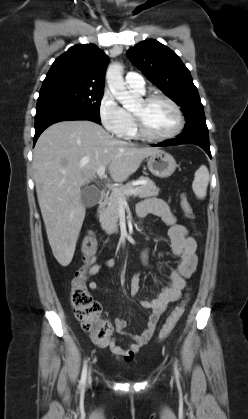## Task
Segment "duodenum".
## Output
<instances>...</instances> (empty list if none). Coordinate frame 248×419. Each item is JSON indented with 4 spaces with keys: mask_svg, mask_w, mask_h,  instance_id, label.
Instances as JSON below:
<instances>
[{
    "mask_svg": "<svg viewBox=\"0 0 248 419\" xmlns=\"http://www.w3.org/2000/svg\"><path fill=\"white\" fill-rule=\"evenodd\" d=\"M107 200V191L101 190L100 191V198H99V205L104 206Z\"/></svg>",
    "mask_w": 248,
    "mask_h": 419,
    "instance_id": "410a0bca",
    "label": "duodenum"
}]
</instances>
